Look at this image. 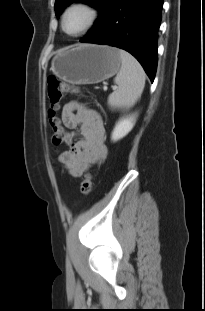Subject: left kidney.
I'll use <instances>...</instances> for the list:
<instances>
[{
	"label": "left kidney",
	"instance_id": "left-kidney-1",
	"mask_svg": "<svg viewBox=\"0 0 205 311\" xmlns=\"http://www.w3.org/2000/svg\"><path fill=\"white\" fill-rule=\"evenodd\" d=\"M135 122L136 115H131L120 119L112 132L111 139L113 141H118L125 137L132 130Z\"/></svg>",
	"mask_w": 205,
	"mask_h": 311
}]
</instances>
